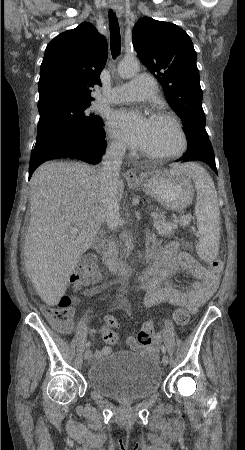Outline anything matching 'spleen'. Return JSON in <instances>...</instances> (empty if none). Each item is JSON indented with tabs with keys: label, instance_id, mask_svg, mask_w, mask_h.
Here are the masks:
<instances>
[{
	"label": "spleen",
	"instance_id": "spleen-1",
	"mask_svg": "<svg viewBox=\"0 0 245 450\" xmlns=\"http://www.w3.org/2000/svg\"><path fill=\"white\" fill-rule=\"evenodd\" d=\"M181 171L195 183V215L200 234L196 250L202 260L209 262L217 257L220 243L221 217L217 191L209 173L198 164L182 165Z\"/></svg>",
	"mask_w": 245,
	"mask_h": 450
}]
</instances>
